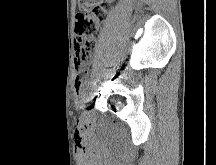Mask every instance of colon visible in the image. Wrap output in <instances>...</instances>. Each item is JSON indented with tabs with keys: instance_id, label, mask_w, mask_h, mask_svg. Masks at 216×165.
I'll return each mask as SVG.
<instances>
[{
	"instance_id": "5ec220e1",
	"label": "colon",
	"mask_w": 216,
	"mask_h": 165,
	"mask_svg": "<svg viewBox=\"0 0 216 165\" xmlns=\"http://www.w3.org/2000/svg\"><path fill=\"white\" fill-rule=\"evenodd\" d=\"M110 9L111 0H79L75 22L77 63L91 61L95 38Z\"/></svg>"
}]
</instances>
